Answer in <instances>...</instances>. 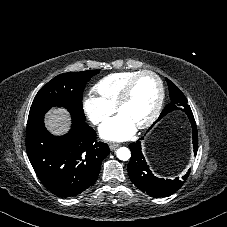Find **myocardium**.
I'll return each instance as SVG.
<instances>
[{"mask_svg": "<svg viewBox=\"0 0 227 227\" xmlns=\"http://www.w3.org/2000/svg\"><path fill=\"white\" fill-rule=\"evenodd\" d=\"M143 75H150L157 81L159 93H158V98H157L153 111L151 112L150 116L144 122H142L136 126V128H138V129H145V128L149 127L150 125H152L154 123V121L157 119V117L162 109V105H163V101H164V85H163V81L160 78V76L151 70H142V71L137 72L128 81V83L126 84L124 90L120 94V96L115 104V109L117 112H119L122 105L125 104L130 99L137 80Z\"/></svg>", "mask_w": 227, "mask_h": 227, "instance_id": "myocardium-1", "label": "myocardium"}]
</instances>
